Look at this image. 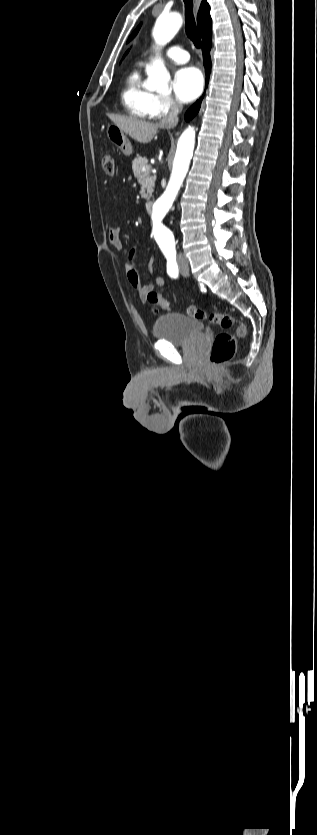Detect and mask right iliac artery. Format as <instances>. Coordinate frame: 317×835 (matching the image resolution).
<instances>
[{
  "instance_id": "1",
  "label": "right iliac artery",
  "mask_w": 317,
  "mask_h": 835,
  "mask_svg": "<svg viewBox=\"0 0 317 835\" xmlns=\"http://www.w3.org/2000/svg\"><path fill=\"white\" fill-rule=\"evenodd\" d=\"M167 273L171 278L178 277V265L175 257L167 258Z\"/></svg>"
}]
</instances>
